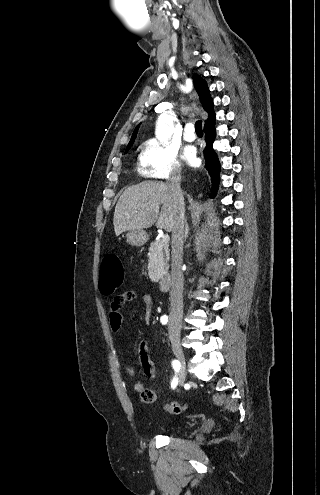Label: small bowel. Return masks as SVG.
<instances>
[{
  "label": "small bowel",
  "instance_id": "obj_1",
  "mask_svg": "<svg viewBox=\"0 0 320 495\" xmlns=\"http://www.w3.org/2000/svg\"><path fill=\"white\" fill-rule=\"evenodd\" d=\"M127 302H137L143 303L145 306V320L148 322L152 316V304L153 300L150 294L143 292L127 291L124 294L117 296L113 299L110 310H109V323L113 331L117 332L120 330L123 322V307ZM145 370L148 374H153V370L150 366L144 363ZM125 370L128 375H134L135 370L126 366ZM134 390L137 392H142L144 386L141 382H136L134 384Z\"/></svg>",
  "mask_w": 320,
  "mask_h": 495
}]
</instances>
